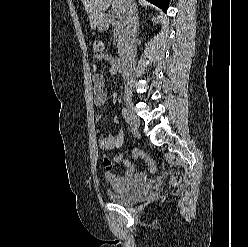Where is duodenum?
Here are the masks:
<instances>
[{"instance_id":"1","label":"duodenum","mask_w":248,"mask_h":247,"mask_svg":"<svg viewBox=\"0 0 248 247\" xmlns=\"http://www.w3.org/2000/svg\"><path fill=\"white\" fill-rule=\"evenodd\" d=\"M131 65V57L129 54L122 56L120 60L119 67L124 73H128Z\"/></svg>"}]
</instances>
